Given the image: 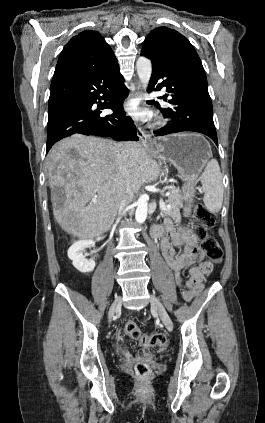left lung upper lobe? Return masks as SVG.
I'll list each match as a JSON object with an SVG mask.
<instances>
[{"instance_id":"obj_1","label":"left lung upper lobe","mask_w":265,"mask_h":423,"mask_svg":"<svg viewBox=\"0 0 265 423\" xmlns=\"http://www.w3.org/2000/svg\"><path fill=\"white\" fill-rule=\"evenodd\" d=\"M178 40L187 39L176 30L167 27L156 28L145 39L141 55L155 60L160 54L166 53L171 49Z\"/></svg>"}]
</instances>
